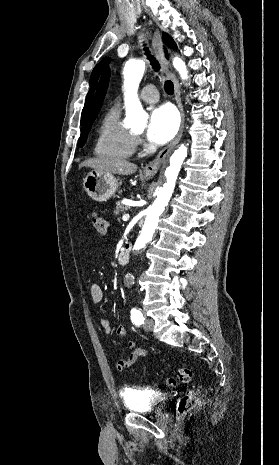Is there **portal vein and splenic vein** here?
I'll return each mask as SVG.
<instances>
[{
  "label": "portal vein and splenic vein",
  "instance_id": "18ae733b",
  "mask_svg": "<svg viewBox=\"0 0 279 465\" xmlns=\"http://www.w3.org/2000/svg\"><path fill=\"white\" fill-rule=\"evenodd\" d=\"M129 218H130V215H129V214H124V215L122 216V220H123V221H128Z\"/></svg>",
  "mask_w": 279,
  "mask_h": 465
}]
</instances>
